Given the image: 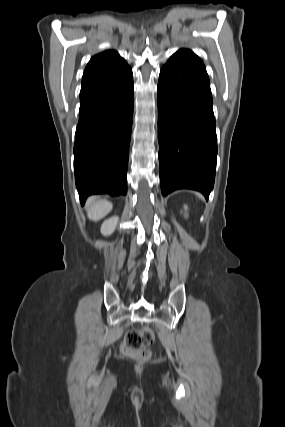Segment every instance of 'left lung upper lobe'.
I'll list each match as a JSON object with an SVG mask.
<instances>
[{
	"label": "left lung upper lobe",
	"instance_id": "1",
	"mask_svg": "<svg viewBox=\"0 0 285 427\" xmlns=\"http://www.w3.org/2000/svg\"><path fill=\"white\" fill-rule=\"evenodd\" d=\"M182 50H184V51H190V50H185V49H182Z\"/></svg>",
	"mask_w": 285,
	"mask_h": 427
}]
</instances>
